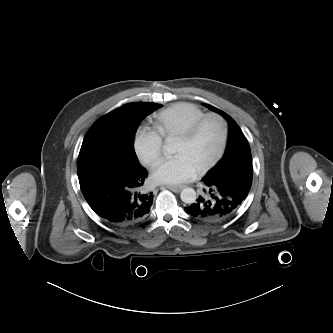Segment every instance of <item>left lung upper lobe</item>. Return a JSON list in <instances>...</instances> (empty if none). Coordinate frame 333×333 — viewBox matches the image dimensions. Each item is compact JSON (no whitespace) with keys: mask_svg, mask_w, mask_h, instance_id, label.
<instances>
[{"mask_svg":"<svg viewBox=\"0 0 333 333\" xmlns=\"http://www.w3.org/2000/svg\"><path fill=\"white\" fill-rule=\"evenodd\" d=\"M210 110L222 115L230 126V142L228 149L222 159L215 165L206 175L219 179L231 172L246 173L252 175V157L251 151L246 137L241 131L237 123L225 112L211 106L206 105Z\"/></svg>","mask_w":333,"mask_h":333,"instance_id":"left-lung-upper-lobe-1","label":"left lung upper lobe"}]
</instances>
